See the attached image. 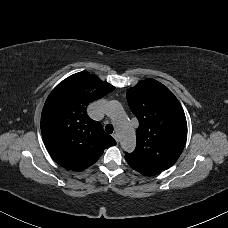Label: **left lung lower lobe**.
Segmentation results:
<instances>
[{
	"mask_svg": "<svg viewBox=\"0 0 228 228\" xmlns=\"http://www.w3.org/2000/svg\"><path fill=\"white\" fill-rule=\"evenodd\" d=\"M125 158L128 162V164L135 169L136 171L142 173L143 175H155L157 173H160L162 169L146 165L144 163L135 161L131 159L129 156L125 155Z\"/></svg>",
	"mask_w": 228,
	"mask_h": 228,
	"instance_id": "left-lung-lower-lobe-1",
	"label": "left lung lower lobe"
}]
</instances>
